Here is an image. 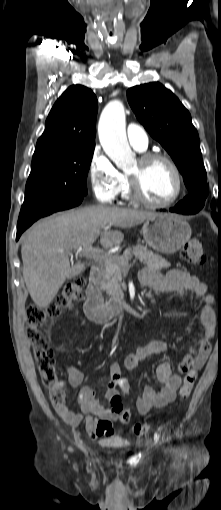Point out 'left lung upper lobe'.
<instances>
[{"mask_svg":"<svg viewBox=\"0 0 221 510\" xmlns=\"http://www.w3.org/2000/svg\"><path fill=\"white\" fill-rule=\"evenodd\" d=\"M128 102L150 135L170 154L189 195L181 202L204 206L209 184L199 146V136L191 115L179 99L158 82L127 90ZM211 207L215 209V203Z\"/></svg>","mask_w":221,"mask_h":510,"instance_id":"left-lung-upper-lobe-1","label":"left lung upper lobe"}]
</instances>
